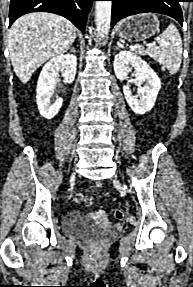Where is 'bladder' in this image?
Listing matches in <instances>:
<instances>
[{
    "label": "bladder",
    "mask_w": 193,
    "mask_h": 287,
    "mask_svg": "<svg viewBox=\"0 0 193 287\" xmlns=\"http://www.w3.org/2000/svg\"><path fill=\"white\" fill-rule=\"evenodd\" d=\"M62 232L71 237L91 238L99 237L103 233L101 224L90 213L69 211L62 220Z\"/></svg>",
    "instance_id": "31cf9c89"
}]
</instances>
